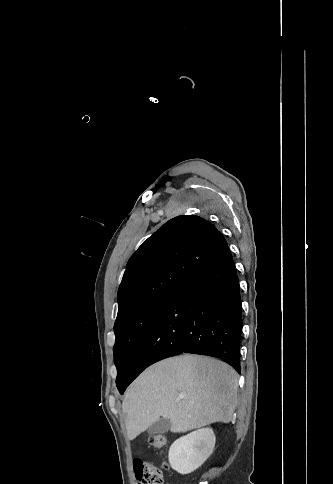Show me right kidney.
<instances>
[{
  "label": "right kidney",
  "mask_w": 333,
  "mask_h": 484,
  "mask_svg": "<svg viewBox=\"0 0 333 484\" xmlns=\"http://www.w3.org/2000/svg\"><path fill=\"white\" fill-rule=\"evenodd\" d=\"M211 428H203L183 436L171 445L169 463L180 474H189L201 467L210 457L215 446Z\"/></svg>",
  "instance_id": "obj_1"
}]
</instances>
